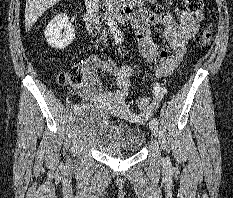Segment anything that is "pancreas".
Returning a JSON list of instances; mask_svg holds the SVG:
<instances>
[{
    "label": "pancreas",
    "instance_id": "obj_1",
    "mask_svg": "<svg viewBox=\"0 0 233 198\" xmlns=\"http://www.w3.org/2000/svg\"><path fill=\"white\" fill-rule=\"evenodd\" d=\"M119 1H121V0H105V3H106V5H110L112 3H116V2H119Z\"/></svg>",
    "mask_w": 233,
    "mask_h": 198
}]
</instances>
